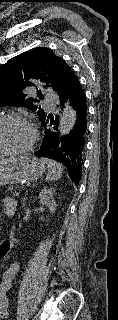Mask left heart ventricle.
I'll return each instance as SVG.
<instances>
[{"label": "left heart ventricle", "instance_id": "1", "mask_svg": "<svg viewBox=\"0 0 118 320\" xmlns=\"http://www.w3.org/2000/svg\"><path fill=\"white\" fill-rule=\"evenodd\" d=\"M32 139L28 124L19 120H9L0 124V144L15 150L26 147Z\"/></svg>", "mask_w": 118, "mask_h": 320}]
</instances>
